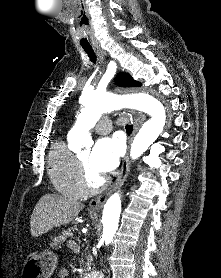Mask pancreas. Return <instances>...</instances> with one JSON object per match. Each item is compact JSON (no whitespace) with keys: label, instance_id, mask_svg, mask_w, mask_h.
<instances>
[{"label":"pancreas","instance_id":"pancreas-1","mask_svg":"<svg viewBox=\"0 0 221 278\" xmlns=\"http://www.w3.org/2000/svg\"><path fill=\"white\" fill-rule=\"evenodd\" d=\"M68 236H71V234L69 232H64L62 235L55 237L53 240V243L51 244V247L52 248H60L61 245L66 241ZM66 245L69 249H71L75 253L80 252V247L74 241H69L66 243ZM86 259H87L86 265H87V267H90L92 260H93L92 256L88 255Z\"/></svg>","mask_w":221,"mask_h":278}]
</instances>
